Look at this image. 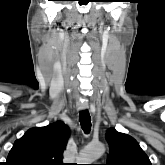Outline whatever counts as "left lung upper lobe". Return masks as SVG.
Listing matches in <instances>:
<instances>
[{"label": "left lung upper lobe", "mask_w": 165, "mask_h": 165, "mask_svg": "<svg viewBox=\"0 0 165 165\" xmlns=\"http://www.w3.org/2000/svg\"><path fill=\"white\" fill-rule=\"evenodd\" d=\"M105 137L110 148L105 165H151L148 156L131 136L110 128Z\"/></svg>", "instance_id": "left-lung-upper-lobe-1"}]
</instances>
